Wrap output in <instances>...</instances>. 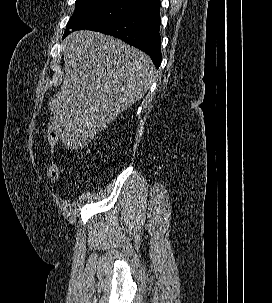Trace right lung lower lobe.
<instances>
[{"label":"right lung lower lobe","instance_id":"right-lung-lower-lobe-1","mask_svg":"<svg viewBox=\"0 0 272 303\" xmlns=\"http://www.w3.org/2000/svg\"><path fill=\"white\" fill-rule=\"evenodd\" d=\"M160 2L131 14L97 24L89 30L112 35L142 50L161 64Z\"/></svg>","mask_w":272,"mask_h":303}]
</instances>
